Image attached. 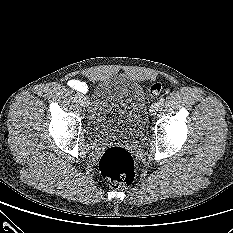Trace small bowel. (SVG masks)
Segmentation results:
<instances>
[{
    "label": "small bowel",
    "mask_w": 233,
    "mask_h": 233,
    "mask_svg": "<svg viewBox=\"0 0 233 233\" xmlns=\"http://www.w3.org/2000/svg\"><path fill=\"white\" fill-rule=\"evenodd\" d=\"M68 85L80 93H86L88 91V85L84 81L76 78L70 79Z\"/></svg>",
    "instance_id": "obj_1"
}]
</instances>
